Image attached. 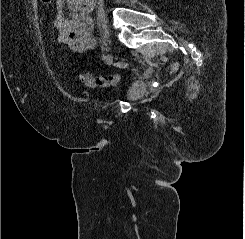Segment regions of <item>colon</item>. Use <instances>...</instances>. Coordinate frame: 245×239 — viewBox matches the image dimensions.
<instances>
[{
  "label": "colon",
  "mask_w": 245,
  "mask_h": 239,
  "mask_svg": "<svg viewBox=\"0 0 245 239\" xmlns=\"http://www.w3.org/2000/svg\"><path fill=\"white\" fill-rule=\"evenodd\" d=\"M44 3H50L52 0H41ZM80 81L88 88H108L115 85L120 77L118 74L95 77L90 73H83L79 76Z\"/></svg>",
  "instance_id": "obj_1"
}]
</instances>
